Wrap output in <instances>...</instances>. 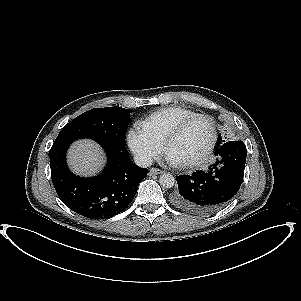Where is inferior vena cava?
I'll list each match as a JSON object with an SVG mask.
<instances>
[{
  "mask_svg": "<svg viewBox=\"0 0 301 301\" xmlns=\"http://www.w3.org/2000/svg\"><path fill=\"white\" fill-rule=\"evenodd\" d=\"M134 163L141 168H147L152 165L153 160L147 155L136 154L134 155Z\"/></svg>",
  "mask_w": 301,
  "mask_h": 301,
  "instance_id": "obj_1",
  "label": "inferior vena cava"
}]
</instances>
